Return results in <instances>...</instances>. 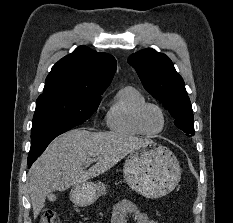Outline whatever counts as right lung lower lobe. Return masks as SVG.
Wrapping results in <instances>:
<instances>
[{
	"label": "right lung lower lobe",
	"instance_id": "98d812e1",
	"mask_svg": "<svg viewBox=\"0 0 233 223\" xmlns=\"http://www.w3.org/2000/svg\"><path fill=\"white\" fill-rule=\"evenodd\" d=\"M42 154V153H41ZM40 153L37 154H29L28 156V167L30 168V166L32 165V163L37 159L38 156L41 155Z\"/></svg>",
	"mask_w": 233,
	"mask_h": 223
}]
</instances>
